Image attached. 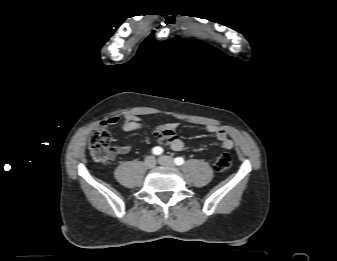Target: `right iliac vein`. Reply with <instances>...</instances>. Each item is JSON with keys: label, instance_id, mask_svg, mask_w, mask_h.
<instances>
[{"label": "right iliac vein", "instance_id": "1", "mask_svg": "<svg viewBox=\"0 0 337 261\" xmlns=\"http://www.w3.org/2000/svg\"><path fill=\"white\" fill-rule=\"evenodd\" d=\"M144 164L147 168L151 169L154 168L156 165V159L154 156H148L146 157Z\"/></svg>", "mask_w": 337, "mask_h": 261}]
</instances>
